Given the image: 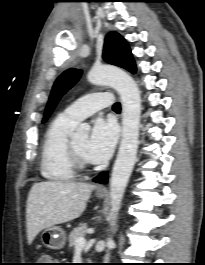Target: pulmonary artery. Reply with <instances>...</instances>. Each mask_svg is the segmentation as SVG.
<instances>
[{
  "instance_id": "pulmonary-artery-1",
  "label": "pulmonary artery",
  "mask_w": 205,
  "mask_h": 265,
  "mask_svg": "<svg viewBox=\"0 0 205 265\" xmlns=\"http://www.w3.org/2000/svg\"><path fill=\"white\" fill-rule=\"evenodd\" d=\"M113 104L112 95L108 92H97L88 94L77 100L64 111L63 115L78 123L95 112L107 108Z\"/></svg>"
}]
</instances>
